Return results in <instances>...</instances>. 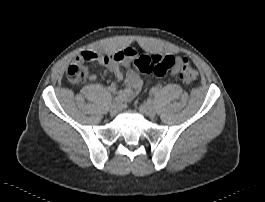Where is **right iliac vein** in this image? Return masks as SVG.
<instances>
[{
  "label": "right iliac vein",
  "mask_w": 265,
  "mask_h": 202,
  "mask_svg": "<svg viewBox=\"0 0 265 202\" xmlns=\"http://www.w3.org/2000/svg\"><path fill=\"white\" fill-rule=\"evenodd\" d=\"M120 106L119 104H113L110 107V115L115 116L119 112Z\"/></svg>",
  "instance_id": "1"
}]
</instances>
